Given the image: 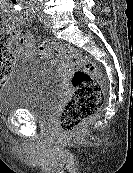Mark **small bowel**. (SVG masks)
<instances>
[{"label": "small bowel", "mask_w": 133, "mask_h": 173, "mask_svg": "<svg viewBox=\"0 0 133 173\" xmlns=\"http://www.w3.org/2000/svg\"><path fill=\"white\" fill-rule=\"evenodd\" d=\"M16 20L20 22L22 18L17 16ZM12 53L26 58L34 57L36 55V41L34 35L30 32H25L17 36L12 46Z\"/></svg>", "instance_id": "obj_1"}]
</instances>
